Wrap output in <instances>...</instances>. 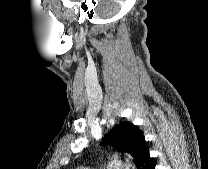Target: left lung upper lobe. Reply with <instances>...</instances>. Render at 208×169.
Here are the masks:
<instances>
[{"instance_id":"left-lung-upper-lobe-1","label":"left lung upper lobe","mask_w":208,"mask_h":169,"mask_svg":"<svg viewBox=\"0 0 208 169\" xmlns=\"http://www.w3.org/2000/svg\"><path fill=\"white\" fill-rule=\"evenodd\" d=\"M106 144L117 151L130 153L134 157L135 165L142 153L148 149L142 131L129 121H124L110 130L101 142V145Z\"/></svg>"}]
</instances>
